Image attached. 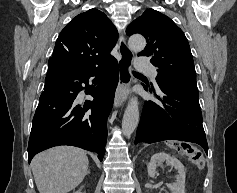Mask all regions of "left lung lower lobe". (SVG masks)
Wrapping results in <instances>:
<instances>
[{
  "instance_id": "obj_1",
  "label": "left lung lower lobe",
  "mask_w": 237,
  "mask_h": 193,
  "mask_svg": "<svg viewBox=\"0 0 237 193\" xmlns=\"http://www.w3.org/2000/svg\"><path fill=\"white\" fill-rule=\"evenodd\" d=\"M145 89L162 104L145 102L135 144L180 140L199 144L208 154L197 88L160 87V95H156L151 87L145 86Z\"/></svg>"
}]
</instances>
